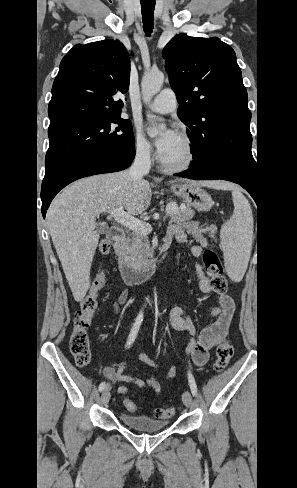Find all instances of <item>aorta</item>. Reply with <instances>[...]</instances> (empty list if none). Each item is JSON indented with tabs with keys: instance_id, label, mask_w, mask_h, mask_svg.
Returning a JSON list of instances; mask_svg holds the SVG:
<instances>
[{
	"instance_id": "obj_1",
	"label": "aorta",
	"mask_w": 297,
	"mask_h": 488,
	"mask_svg": "<svg viewBox=\"0 0 297 488\" xmlns=\"http://www.w3.org/2000/svg\"><path fill=\"white\" fill-rule=\"evenodd\" d=\"M164 81V74L161 71L145 73L141 81L142 98L145 103H150L152 97L157 94ZM147 119L152 122L150 134H157L163 127L162 124H157L155 121L157 117L153 114H147ZM154 123V124H153Z\"/></svg>"
}]
</instances>
